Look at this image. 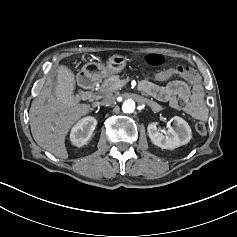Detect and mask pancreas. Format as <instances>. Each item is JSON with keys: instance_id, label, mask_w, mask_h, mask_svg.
Here are the masks:
<instances>
[{"instance_id": "1", "label": "pancreas", "mask_w": 237, "mask_h": 237, "mask_svg": "<svg viewBox=\"0 0 237 237\" xmlns=\"http://www.w3.org/2000/svg\"><path fill=\"white\" fill-rule=\"evenodd\" d=\"M120 75H109L99 87V91L105 95H111L112 93L116 92L120 87H122Z\"/></svg>"}]
</instances>
